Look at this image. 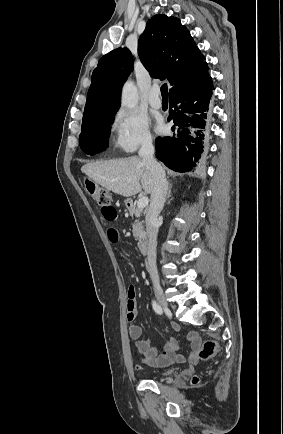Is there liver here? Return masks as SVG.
<instances>
[{
	"instance_id": "obj_1",
	"label": "liver",
	"mask_w": 283,
	"mask_h": 434,
	"mask_svg": "<svg viewBox=\"0 0 283 434\" xmlns=\"http://www.w3.org/2000/svg\"><path fill=\"white\" fill-rule=\"evenodd\" d=\"M85 173L96 184L123 197H130L144 190L151 194L153 176L141 157L90 162L82 166Z\"/></svg>"
}]
</instances>
